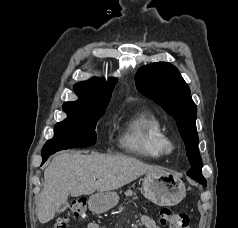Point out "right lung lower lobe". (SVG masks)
I'll use <instances>...</instances> for the list:
<instances>
[{
	"label": "right lung lower lobe",
	"instance_id": "right-lung-lower-lobe-1",
	"mask_svg": "<svg viewBox=\"0 0 238 228\" xmlns=\"http://www.w3.org/2000/svg\"><path fill=\"white\" fill-rule=\"evenodd\" d=\"M55 152H46V153H42V158H43V161H42V164L47 160V158L54 154Z\"/></svg>",
	"mask_w": 238,
	"mask_h": 228
}]
</instances>
